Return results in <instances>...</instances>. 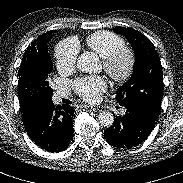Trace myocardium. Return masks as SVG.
I'll return each instance as SVG.
<instances>
[{
	"label": "myocardium",
	"instance_id": "f54148a6",
	"mask_svg": "<svg viewBox=\"0 0 183 183\" xmlns=\"http://www.w3.org/2000/svg\"><path fill=\"white\" fill-rule=\"evenodd\" d=\"M136 54L133 49L123 46L103 58V68L115 82H125L134 73Z\"/></svg>",
	"mask_w": 183,
	"mask_h": 183
}]
</instances>
